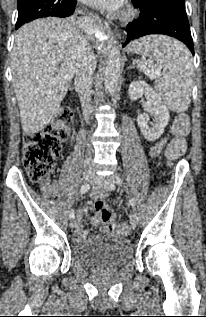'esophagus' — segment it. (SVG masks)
I'll return each instance as SVG.
<instances>
[{
	"label": "esophagus",
	"mask_w": 206,
	"mask_h": 317,
	"mask_svg": "<svg viewBox=\"0 0 206 317\" xmlns=\"http://www.w3.org/2000/svg\"><path fill=\"white\" fill-rule=\"evenodd\" d=\"M93 37L98 42H109L114 40V35L110 27L101 21H99L98 28L93 31Z\"/></svg>",
	"instance_id": "obj_1"
}]
</instances>
